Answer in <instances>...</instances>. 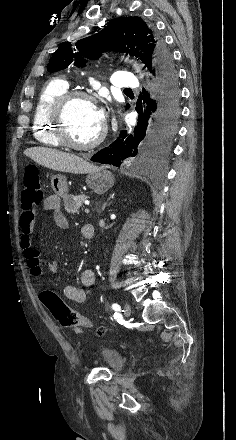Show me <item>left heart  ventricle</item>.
I'll return each instance as SVG.
<instances>
[{"label":"left heart ventricle","mask_w":236,"mask_h":440,"mask_svg":"<svg viewBox=\"0 0 236 440\" xmlns=\"http://www.w3.org/2000/svg\"><path fill=\"white\" fill-rule=\"evenodd\" d=\"M96 107L86 100H75L66 113L70 138L77 143L92 141L102 130L96 117Z\"/></svg>","instance_id":"b2bd125f"}]
</instances>
